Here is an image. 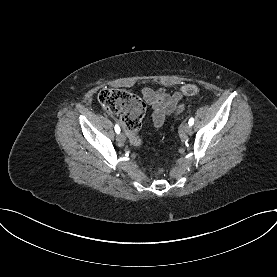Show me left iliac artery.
Returning <instances> with one entry per match:
<instances>
[{"instance_id":"44dca946","label":"left iliac artery","mask_w":277,"mask_h":277,"mask_svg":"<svg viewBox=\"0 0 277 277\" xmlns=\"http://www.w3.org/2000/svg\"><path fill=\"white\" fill-rule=\"evenodd\" d=\"M188 123H189L190 126H192L194 124V119L190 118Z\"/></svg>"}]
</instances>
